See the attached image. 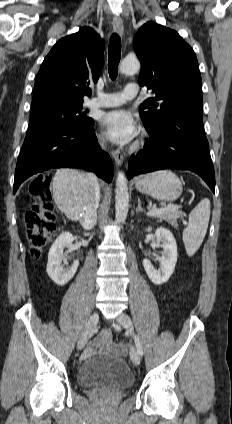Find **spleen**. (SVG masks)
<instances>
[{
  "instance_id": "obj_1",
  "label": "spleen",
  "mask_w": 232,
  "mask_h": 424,
  "mask_svg": "<svg viewBox=\"0 0 232 424\" xmlns=\"http://www.w3.org/2000/svg\"><path fill=\"white\" fill-rule=\"evenodd\" d=\"M209 219L210 200L204 198L190 212L188 226L183 231V242L189 257L193 256L202 244L207 232Z\"/></svg>"
}]
</instances>
